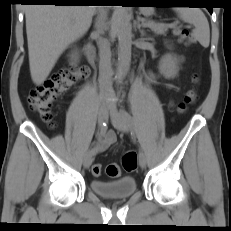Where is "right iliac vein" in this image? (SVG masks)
Instances as JSON below:
<instances>
[{
    "label": "right iliac vein",
    "mask_w": 231,
    "mask_h": 231,
    "mask_svg": "<svg viewBox=\"0 0 231 231\" xmlns=\"http://www.w3.org/2000/svg\"><path fill=\"white\" fill-rule=\"evenodd\" d=\"M108 110H109V107L108 105L106 104L105 102V99L104 97L102 98V101H101V104H100V107H99V112H98V122L99 124H102L107 113H108ZM92 161H93V155L89 152H87L85 155H84V158H83V165L85 168H89L92 164Z\"/></svg>",
    "instance_id": "obj_1"
}]
</instances>
